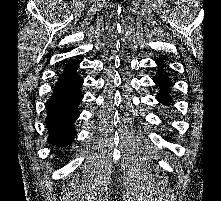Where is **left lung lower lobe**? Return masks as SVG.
I'll return each instance as SVG.
<instances>
[{"label": "left lung lower lobe", "instance_id": "obj_1", "mask_svg": "<svg viewBox=\"0 0 221 201\" xmlns=\"http://www.w3.org/2000/svg\"><path fill=\"white\" fill-rule=\"evenodd\" d=\"M157 65L160 71L153 77V80L161 88V91L156 98L164 105H169V88L172 85V82L168 78L167 74L163 72L164 63L161 59L157 60Z\"/></svg>", "mask_w": 221, "mask_h": 201}]
</instances>
